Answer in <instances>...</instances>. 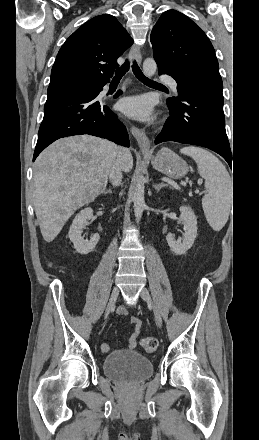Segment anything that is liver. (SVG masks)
<instances>
[{
	"instance_id": "liver-1",
	"label": "liver",
	"mask_w": 259,
	"mask_h": 440,
	"mask_svg": "<svg viewBox=\"0 0 259 440\" xmlns=\"http://www.w3.org/2000/svg\"><path fill=\"white\" fill-rule=\"evenodd\" d=\"M118 146L92 135L61 138L36 159L33 205L41 234L52 242L72 214L104 192ZM123 170L131 171L128 149L120 156Z\"/></svg>"
}]
</instances>
